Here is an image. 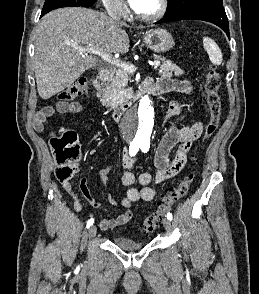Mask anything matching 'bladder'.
<instances>
[{
	"instance_id": "bladder-1",
	"label": "bladder",
	"mask_w": 259,
	"mask_h": 294,
	"mask_svg": "<svg viewBox=\"0 0 259 294\" xmlns=\"http://www.w3.org/2000/svg\"><path fill=\"white\" fill-rule=\"evenodd\" d=\"M114 244L125 251L139 250L142 249L145 245L144 242L134 241L121 235L114 238Z\"/></svg>"
}]
</instances>
